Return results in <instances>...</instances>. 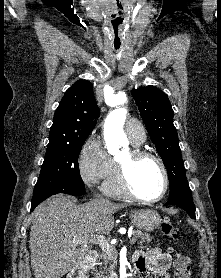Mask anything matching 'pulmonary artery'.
<instances>
[{
    "label": "pulmonary artery",
    "instance_id": "1",
    "mask_svg": "<svg viewBox=\"0 0 221 278\" xmlns=\"http://www.w3.org/2000/svg\"><path fill=\"white\" fill-rule=\"evenodd\" d=\"M125 130L132 142L143 143L146 139L144 128L138 122L128 121L125 125Z\"/></svg>",
    "mask_w": 221,
    "mask_h": 278
}]
</instances>
